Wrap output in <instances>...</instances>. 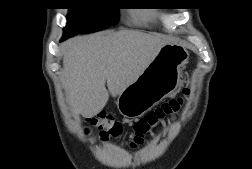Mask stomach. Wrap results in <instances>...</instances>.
<instances>
[{"instance_id":"stomach-1","label":"stomach","mask_w":252,"mask_h":169,"mask_svg":"<svg viewBox=\"0 0 252 169\" xmlns=\"http://www.w3.org/2000/svg\"><path fill=\"white\" fill-rule=\"evenodd\" d=\"M188 57V51L180 45L165 44L138 79L119 94L116 104L120 114L137 119L173 94Z\"/></svg>"}]
</instances>
